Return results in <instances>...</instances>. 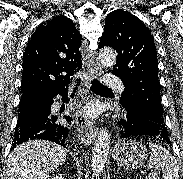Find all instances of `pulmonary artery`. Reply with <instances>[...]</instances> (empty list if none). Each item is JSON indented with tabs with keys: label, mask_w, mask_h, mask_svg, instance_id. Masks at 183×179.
Here are the masks:
<instances>
[{
	"label": "pulmonary artery",
	"mask_w": 183,
	"mask_h": 179,
	"mask_svg": "<svg viewBox=\"0 0 183 179\" xmlns=\"http://www.w3.org/2000/svg\"><path fill=\"white\" fill-rule=\"evenodd\" d=\"M104 83L107 87L115 88L121 93L124 91L125 88L122 81L118 77L111 74L107 75L104 78Z\"/></svg>",
	"instance_id": "pulmonary-artery-1"
}]
</instances>
